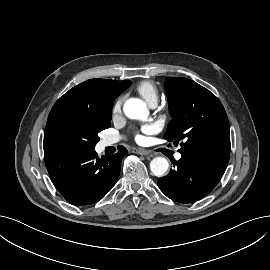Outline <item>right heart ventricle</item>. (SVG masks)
Listing matches in <instances>:
<instances>
[{"label":"right heart ventricle","mask_w":270,"mask_h":270,"mask_svg":"<svg viewBox=\"0 0 270 270\" xmlns=\"http://www.w3.org/2000/svg\"><path fill=\"white\" fill-rule=\"evenodd\" d=\"M136 91L145 99L149 105L152 103H157L159 98V91L153 82L141 81L137 84Z\"/></svg>","instance_id":"e07e8e85"}]
</instances>
